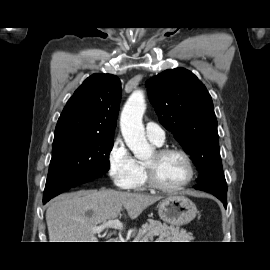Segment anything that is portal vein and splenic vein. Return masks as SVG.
<instances>
[{
	"label": "portal vein and splenic vein",
	"mask_w": 270,
	"mask_h": 270,
	"mask_svg": "<svg viewBox=\"0 0 270 270\" xmlns=\"http://www.w3.org/2000/svg\"><path fill=\"white\" fill-rule=\"evenodd\" d=\"M105 228H113L117 230H122L123 229V224L119 219H113V220H108L102 224H100L97 227L93 228V232L95 233H100L102 232Z\"/></svg>",
	"instance_id": "portal-vein-and-splenic-vein-1"
}]
</instances>
